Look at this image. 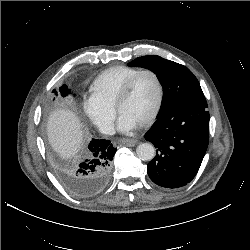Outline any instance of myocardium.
Segmentation results:
<instances>
[{"label":"myocardium","mask_w":250,"mask_h":250,"mask_svg":"<svg viewBox=\"0 0 250 250\" xmlns=\"http://www.w3.org/2000/svg\"><path fill=\"white\" fill-rule=\"evenodd\" d=\"M143 74H150L153 76V78L155 79L156 85H157V103L156 106L153 110V112L151 113V115L145 119L140 125H138L139 127H147L149 125H151L159 116L162 106H163V102H164V86L162 83V80L160 78V76L152 69H141L139 70L137 73H135L121 88L119 94L117 95V98L115 100L114 103V109L115 111L120 114V107L122 106V104L128 99L131 90L136 82V80Z\"/></svg>","instance_id":"obj_1"}]
</instances>
